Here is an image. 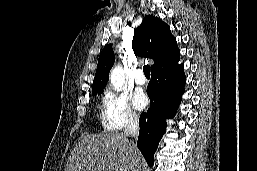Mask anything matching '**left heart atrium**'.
I'll return each instance as SVG.
<instances>
[{"instance_id": "obj_1", "label": "left heart atrium", "mask_w": 257, "mask_h": 171, "mask_svg": "<svg viewBox=\"0 0 257 171\" xmlns=\"http://www.w3.org/2000/svg\"><path fill=\"white\" fill-rule=\"evenodd\" d=\"M133 103L137 109H143L147 106L148 99L143 93H137L133 97Z\"/></svg>"}]
</instances>
